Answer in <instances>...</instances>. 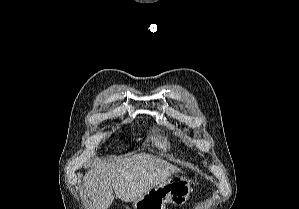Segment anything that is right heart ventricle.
<instances>
[{
    "label": "right heart ventricle",
    "instance_id": "e07e8e85",
    "mask_svg": "<svg viewBox=\"0 0 299 209\" xmlns=\"http://www.w3.org/2000/svg\"><path fill=\"white\" fill-rule=\"evenodd\" d=\"M156 143L160 146V147H166V143L164 141H162L161 139H158L156 141Z\"/></svg>",
    "mask_w": 299,
    "mask_h": 209
}]
</instances>
